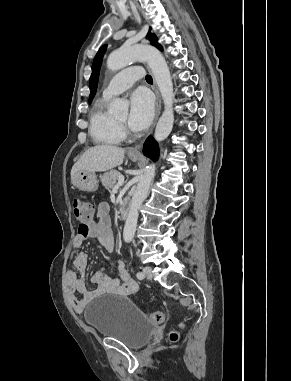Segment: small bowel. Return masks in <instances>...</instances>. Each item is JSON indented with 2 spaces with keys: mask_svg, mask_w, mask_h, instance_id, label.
Here are the masks:
<instances>
[{
  "mask_svg": "<svg viewBox=\"0 0 291 381\" xmlns=\"http://www.w3.org/2000/svg\"><path fill=\"white\" fill-rule=\"evenodd\" d=\"M98 221H92L87 229L79 226L78 232L73 241V266L75 270H68L65 276V288L68 299L78 313H81L95 299L103 294H113L118 296H129L138 291V284L133 280L122 261L118 262L117 278L110 277L104 269L98 270L93 276V282L97 287L94 291L86 290L85 280L78 276L77 271L84 274L88 269V256L78 248L87 239L98 240L101 245L109 252L115 247L109 208L106 204H100L97 209ZM81 294V298L77 297Z\"/></svg>",
  "mask_w": 291,
  "mask_h": 381,
  "instance_id": "obj_1",
  "label": "small bowel"
}]
</instances>
